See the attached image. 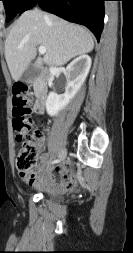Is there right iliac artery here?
Here are the masks:
<instances>
[{
    "label": "right iliac artery",
    "mask_w": 133,
    "mask_h": 253,
    "mask_svg": "<svg viewBox=\"0 0 133 253\" xmlns=\"http://www.w3.org/2000/svg\"><path fill=\"white\" fill-rule=\"evenodd\" d=\"M59 162V159H55L51 162V164H54V163H58Z\"/></svg>",
    "instance_id": "obj_1"
}]
</instances>
